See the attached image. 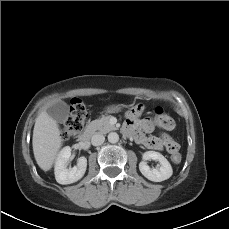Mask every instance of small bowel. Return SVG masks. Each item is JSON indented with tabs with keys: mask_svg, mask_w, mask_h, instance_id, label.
<instances>
[{
	"mask_svg": "<svg viewBox=\"0 0 229 229\" xmlns=\"http://www.w3.org/2000/svg\"><path fill=\"white\" fill-rule=\"evenodd\" d=\"M143 111L144 107L142 105H135L127 111L123 132L128 136L134 137L137 143L148 149L160 151L168 141L174 140L166 133H162L160 136H146L144 132H151L154 125L150 119L141 118ZM156 114L155 124L158 127L165 131H170L174 128H168L163 125L161 119L167 115L163 113L162 108H156Z\"/></svg>",
	"mask_w": 229,
	"mask_h": 229,
	"instance_id": "1",
	"label": "small bowel"
}]
</instances>
